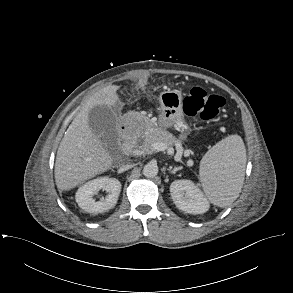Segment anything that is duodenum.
I'll list each match as a JSON object with an SVG mask.
<instances>
[{
  "label": "duodenum",
  "instance_id": "410a0bca",
  "mask_svg": "<svg viewBox=\"0 0 293 293\" xmlns=\"http://www.w3.org/2000/svg\"><path fill=\"white\" fill-rule=\"evenodd\" d=\"M121 134L127 139L123 145V150L125 152H130L133 148V141L130 138L131 129L129 127V123L127 118H124L121 123Z\"/></svg>",
  "mask_w": 293,
  "mask_h": 293
}]
</instances>
